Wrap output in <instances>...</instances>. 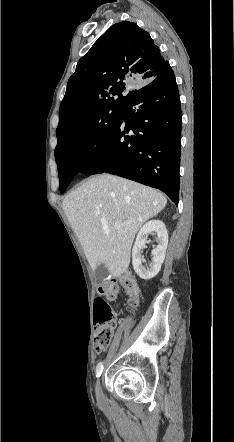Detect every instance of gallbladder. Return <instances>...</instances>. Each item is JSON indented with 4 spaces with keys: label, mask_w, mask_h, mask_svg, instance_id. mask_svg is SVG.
Segmentation results:
<instances>
[{
    "label": "gallbladder",
    "mask_w": 234,
    "mask_h": 442,
    "mask_svg": "<svg viewBox=\"0 0 234 442\" xmlns=\"http://www.w3.org/2000/svg\"><path fill=\"white\" fill-rule=\"evenodd\" d=\"M108 276V269L104 264H100L95 269V279L97 283H102Z\"/></svg>",
    "instance_id": "obj_1"
}]
</instances>
